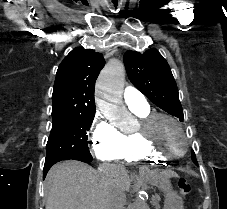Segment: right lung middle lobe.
Wrapping results in <instances>:
<instances>
[{"label": "right lung middle lobe", "instance_id": "obj_1", "mask_svg": "<svg viewBox=\"0 0 227 209\" xmlns=\"http://www.w3.org/2000/svg\"><path fill=\"white\" fill-rule=\"evenodd\" d=\"M64 107L81 104L79 100H67ZM95 111L76 112L67 108L52 112L53 126L46 145L44 172L56 160L72 157L92 159L86 132L93 122Z\"/></svg>", "mask_w": 227, "mask_h": 209}]
</instances>
